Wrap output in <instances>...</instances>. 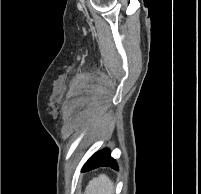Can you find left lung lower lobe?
<instances>
[{"label": "left lung lower lobe", "mask_w": 201, "mask_h": 194, "mask_svg": "<svg viewBox=\"0 0 201 194\" xmlns=\"http://www.w3.org/2000/svg\"><path fill=\"white\" fill-rule=\"evenodd\" d=\"M110 166L114 169H118L117 163L110 156V152L108 149H103L97 153H95L84 165L82 168V172L90 171L92 169Z\"/></svg>", "instance_id": "0a47b994"}]
</instances>
